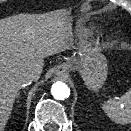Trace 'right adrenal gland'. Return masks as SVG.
Segmentation results:
<instances>
[{
  "label": "right adrenal gland",
  "mask_w": 131,
  "mask_h": 131,
  "mask_svg": "<svg viewBox=\"0 0 131 131\" xmlns=\"http://www.w3.org/2000/svg\"><path fill=\"white\" fill-rule=\"evenodd\" d=\"M20 95V92L17 93L16 98L18 99ZM18 102V101H17Z\"/></svg>",
  "instance_id": "1"
}]
</instances>
